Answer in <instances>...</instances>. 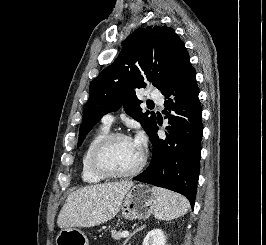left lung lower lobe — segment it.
Instances as JSON below:
<instances>
[{
	"label": "left lung lower lobe",
	"instance_id": "0a47b994",
	"mask_svg": "<svg viewBox=\"0 0 266 245\" xmlns=\"http://www.w3.org/2000/svg\"><path fill=\"white\" fill-rule=\"evenodd\" d=\"M169 116L166 138L157 135L159 120L148 134L153 155L148 168L134 177L186 196L194 207L200 172L201 139L203 134L202 108L196 73L189 57L184 59L168 85L161 91ZM173 111V115L170 112Z\"/></svg>",
	"mask_w": 266,
	"mask_h": 245
}]
</instances>
